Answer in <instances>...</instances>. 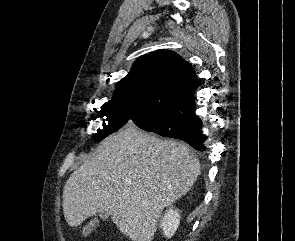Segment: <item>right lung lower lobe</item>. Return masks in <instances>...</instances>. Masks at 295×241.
<instances>
[{"label":"right lung lower lobe","instance_id":"right-lung-lower-lobe-1","mask_svg":"<svg viewBox=\"0 0 295 241\" xmlns=\"http://www.w3.org/2000/svg\"><path fill=\"white\" fill-rule=\"evenodd\" d=\"M196 104L189 102L176 110L165 113L157 121L141 127V129L154 132L164 137L181 139L193 148L204 151L206 135L202 133V121L195 114Z\"/></svg>","mask_w":295,"mask_h":241}]
</instances>
